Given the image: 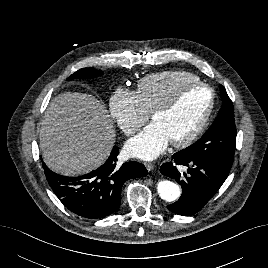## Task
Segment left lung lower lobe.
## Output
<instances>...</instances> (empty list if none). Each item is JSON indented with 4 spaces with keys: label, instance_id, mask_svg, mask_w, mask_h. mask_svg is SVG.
Listing matches in <instances>:
<instances>
[{
    "label": "left lung lower lobe",
    "instance_id": "left-lung-lower-lobe-1",
    "mask_svg": "<svg viewBox=\"0 0 268 268\" xmlns=\"http://www.w3.org/2000/svg\"><path fill=\"white\" fill-rule=\"evenodd\" d=\"M174 162L165 163L160 172L175 179L182 187V195L178 201L167 208L177 214L190 216L200 211L221 187L227 178L230 167L214 160L185 158L177 153L173 155ZM176 165L187 166L185 178L181 177Z\"/></svg>",
    "mask_w": 268,
    "mask_h": 268
}]
</instances>
